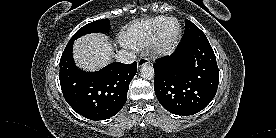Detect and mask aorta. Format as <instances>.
Instances as JSON below:
<instances>
[{"label":"aorta","instance_id":"aorta-1","mask_svg":"<svg viewBox=\"0 0 276 138\" xmlns=\"http://www.w3.org/2000/svg\"><path fill=\"white\" fill-rule=\"evenodd\" d=\"M141 77L146 80H151L154 78V69L150 65H143L140 70Z\"/></svg>","mask_w":276,"mask_h":138}]
</instances>
